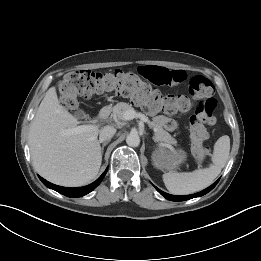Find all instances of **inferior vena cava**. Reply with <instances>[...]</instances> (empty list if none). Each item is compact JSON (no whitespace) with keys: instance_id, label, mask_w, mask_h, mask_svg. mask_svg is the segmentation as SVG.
I'll use <instances>...</instances> for the list:
<instances>
[{"instance_id":"obj_1","label":"inferior vena cava","mask_w":261,"mask_h":261,"mask_svg":"<svg viewBox=\"0 0 261 261\" xmlns=\"http://www.w3.org/2000/svg\"><path fill=\"white\" fill-rule=\"evenodd\" d=\"M115 133H116V129L114 127L105 126L100 130L99 141L100 142L110 141Z\"/></svg>"}]
</instances>
